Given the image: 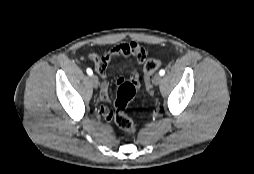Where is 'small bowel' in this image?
<instances>
[{
    "label": "small bowel",
    "mask_w": 254,
    "mask_h": 174,
    "mask_svg": "<svg viewBox=\"0 0 254 174\" xmlns=\"http://www.w3.org/2000/svg\"><path fill=\"white\" fill-rule=\"evenodd\" d=\"M120 56H132L139 63H143L146 60L147 54L145 50L136 45V47H130L127 44H122L111 51L107 52L103 56L90 55V60L95 64L98 73L103 78L101 90H100V100L102 103L101 113L106 120H111L113 116L112 110L109 108V96H108V81H107V67L113 61H115ZM125 82L123 77H119L116 80L117 85H121ZM129 82L139 85L140 75L138 71L134 70L131 72L129 77Z\"/></svg>",
    "instance_id": "small-bowel-1"
}]
</instances>
